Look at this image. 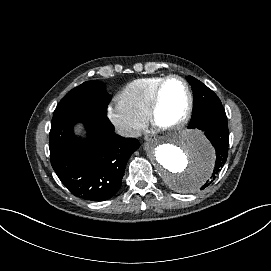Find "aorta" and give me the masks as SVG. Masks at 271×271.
Returning a JSON list of instances; mask_svg holds the SVG:
<instances>
[{
    "label": "aorta",
    "instance_id": "aorta-1",
    "mask_svg": "<svg viewBox=\"0 0 271 271\" xmlns=\"http://www.w3.org/2000/svg\"><path fill=\"white\" fill-rule=\"evenodd\" d=\"M155 171L179 193H194L210 178L215 150L199 131L172 132L146 145Z\"/></svg>",
    "mask_w": 271,
    "mask_h": 271
}]
</instances>
